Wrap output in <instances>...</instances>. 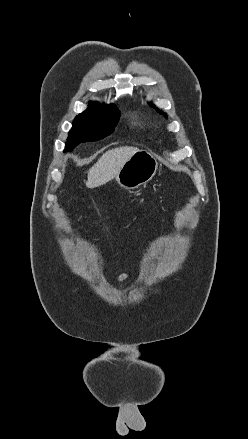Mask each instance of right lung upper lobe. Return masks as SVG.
<instances>
[{
  "mask_svg": "<svg viewBox=\"0 0 248 439\" xmlns=\"http://www.w3.org/2000/svg\"><path fill=\"white\" fill-rule=\"evenodd\" d=\"M89 107L109 110V111H118V109L113 104L105 105V104H99V103L95 104L94 102H90Z\"/></svg>",
  "mask_w": 248,
  "mask_h": 439,
  "instance_id": "obj_1",
  "label": "right lung upper lobe"
}]
</instances>
